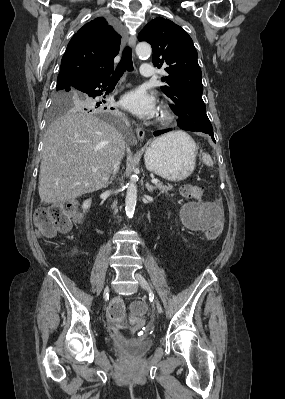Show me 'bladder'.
<instances>
[{"mask_svg":"<svg viewBox=\"0 0 285 399\" xmlns=\"http://www.w3.org/2000/svg\"><path fill=\"white\" fill-rule=\"evenodd\" d=\"M153 341H124L121 343H114L113 350L120 355L129 357V358H137L145 355L152 347Z\"/></svg>","mask_w":285,"mask_h":399,"instance_id":"31cf9c89","label":"bladder"}]
</instances>
